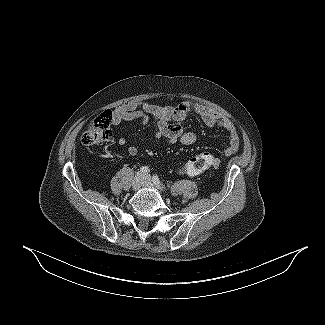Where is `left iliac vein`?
I'll use <instances>...</instances> for the list:
<instances>
[{
	"label": "left iliac vein",
	"instance_id": "obj_1",
	"mask_svg": "<svg viewBox=\"0 0 325 325\" xmlns=\"http://www.w3.org/2000/svg\"><path fill=\"white\" fill-rule=\"evenodd\" d=\"M143 186H146V187H153V186H154V185L152 184V182H151V177H150V175H148V174L144 175Z\"/></svg>",
	"mask_w": 325,
	"mask_h": 325
}]
</instances>
